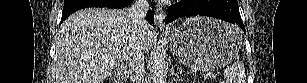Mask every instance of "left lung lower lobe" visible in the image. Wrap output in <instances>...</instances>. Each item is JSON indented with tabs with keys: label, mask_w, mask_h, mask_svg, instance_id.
Instances as JSON below:
<instances>
[{
	"label": "left lung lower lobe",
	"mask_w": 307,
	"mask_h": 83,
	"mask_svg": "<svg viewBox=\"0 0 307 83\" xmlns=\"http://www.w3.org/2000/svg\"><path fill=\"white\" fill-rule=\"evenodd\" d=\"M197 15L234 22L245 32L237 0H181L168 8L167 23L180 17Z\"/></svg>",
	"instance_id": "1"
}]
</instances>
